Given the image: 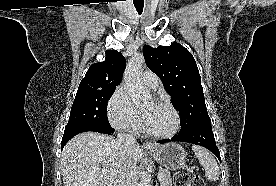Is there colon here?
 <instances>
[{"label": "colon", "mask_w": 276, "mask_h": 186, "mask_svg": "<svg viewBox=\"0 0 276 186\" xmlns=\"http://www.w3.org/2000/svg\"><path fill=\"white\" fill-rule=\"evenodd\" d=\"M174 186H205V183L204 180L196 174L180 171L174 176Z\"/></svg>", "instance_id": "colon-1"}]
</instances>
